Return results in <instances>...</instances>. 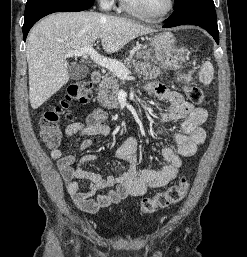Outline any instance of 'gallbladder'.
Segmentation results:
<instances>
[{"label":"gallbladder","instance_id":"obj_1","mask_svg":"<svg viewBox=\"0 0 247 257\" xmlns=\"http://www.w3.org/2000/svg\"><path fill=\"white\" fill-rule=\"evenodd\" d=\"M69 77L73 80H81L89 74V69L84 64H70L68 66Z\"/></svg>","mask_w":247,"mask_h":257}]
</instances>
